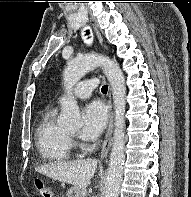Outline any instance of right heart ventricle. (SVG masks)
Segmentation results:
<instances>
[{"instance_id":"obj_1","label":"right heart ventricle","mask_w":191,"mask_h":197,"mask_svg":"<svg viewBox=\"0 0 191 197\" xmlns=\"http://www.w3.org/2000/svg\"><path fill=\"white\" fill-rule=\"evenodd\" d=\"M36 147L41 158L62 162L71 158L72 145L68 132L56 122V108H46L36 128Z\"/></svg>"}]
</instances>
